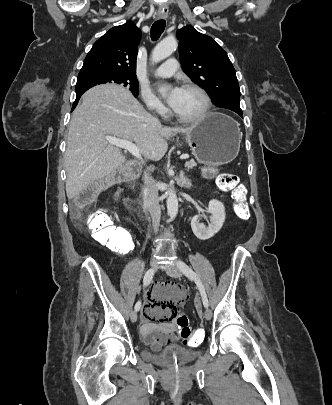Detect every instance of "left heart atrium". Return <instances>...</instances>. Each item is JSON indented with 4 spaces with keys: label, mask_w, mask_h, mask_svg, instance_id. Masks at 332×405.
Returning a JSON list of instances; mask_svg holds the SVG:
<instances>
[{
    "label": "left heart atrium",
    "mask_w": 332,
    "mask_h": 405,
    "mask_svg": "<svg viewBox=\"0 0 332 405\" xmlns=\"http://www.w3.org/2000/svg\"><path fill=\"white\" fill-rule=\"evenodd\" d=\"M181 92H182V88H180V87H174L171 90V92L168 96V103L172 108H174L176 106V104L180 98Z\"/></svg>",
    "instance_id": "39dd6f15"
}]
</instances>
